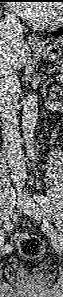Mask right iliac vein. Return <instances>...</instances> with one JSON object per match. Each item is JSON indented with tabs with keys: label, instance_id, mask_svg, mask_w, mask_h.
Returning a JSON list of instances; mask_svg holds the SVG:
<instances>
[{
	"label": "right iliac vein",
	"instance_id": "63e3f726",
	"mask_svg": "<svg viewBox=\"0 0 63 297\" xmlns=\"http://www.w3.org/2000/svg\"><path fill=\"white\" fill-rule=\"evenodd\" d=\"M16 203V196L14 194H11L8 204H7V209H6V217L9 218L14 210V206ZM12 249L11 245H6L5 247H1V254L3 255L5 252H10Z\"/></svg>",
	"mask_w": 63,
	"mask_h": 297
}]
</instances>
